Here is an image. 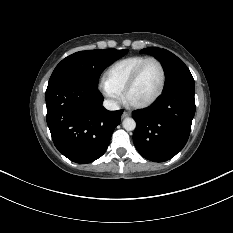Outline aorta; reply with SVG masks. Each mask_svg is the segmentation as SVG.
Listing matches in <instances>:
<instances>
[{
	"instance_id": "aorta-1",
	"label": "aorta",
	"mask_w": 233,
	"mask_h": 233,
	"mask_svg": "<svg viewBox=\"0 0 233 233\" xmlns=\"http://www.w3.org/2000/svg\"><path fill=\"white\" fill-rule=\"evenodd\" d=\"M123 128L127 131H132L136 128V122L133 118H125L122 122Z\"/></svg>"
}]
</instances>
